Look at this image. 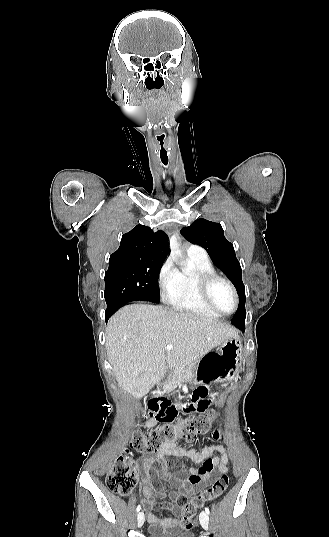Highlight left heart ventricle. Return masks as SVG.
Masks as SVG:
<instances>
[{
    "mask_svg": "<svg viewBox=\"0 0 329 537\" xmlns=\"http://www.w3.org/2000/svg\"><path fill=\"white\" fill-rule=\"evenodd\" d=\"M214 304L223 312H231L234 308V297L231 290L223 283H216L211 290Z\"/></svg>",
    "mask_w": 329,
    "mask_h": 537,
    "instance_id": "left-heart-ventricle-1",
    "label": "left heart ventricle"
}]
</instances>
